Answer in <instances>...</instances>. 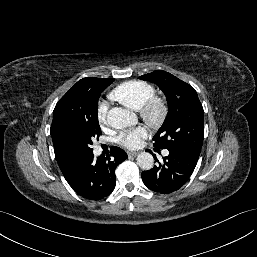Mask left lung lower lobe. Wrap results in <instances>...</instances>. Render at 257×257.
<instances>
[{
  "label": "left lung lower lobe",
  "mask_w": 257,
  "mask_h": 257,
  "mask_svg": "<svg viewBox=\"0 0 257 257\" xmlns=\"http://www.w3.org/2000/svg\"><path fill=\"white\" fill-rule=\"evenodd\" d=\"M168 150L169 155L163 158V163L141 174L144 184L150 190L161 194L180 189L192 175L199 158V155L182 149Z\"/></svg>",
  "instance_id": "1"
}]
</instances>
